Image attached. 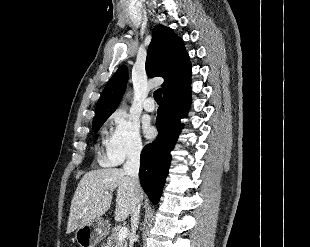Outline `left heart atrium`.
<instances>
[{
    "instance_id": "obj_1",
    "label": "left heart atrium",
    "mask_w": 310,
    "mask_h": 247,
    "mask_svg": "<svg viewBox=\"0 0 310 247\" xmlns=\"http://www.w3.org/2000/svg\"><path fill=\"white\" fill-rule=\"evenodd\" d=\"M153 133H154V130L151 126H146L145 128V134L147 137H152L153 136Z\"/></svg>"
}]
</instances>
